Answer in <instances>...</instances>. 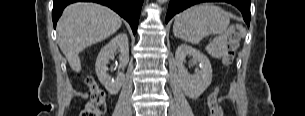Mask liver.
I'll return each instance as SVG.
<instances>
[{"mask_svg": "<svg viewBox=\"0 0 305 116\" xmlns=\"http://www.w3.org/2000/svg\"><path fill=\"white\" fill-rule=\"evenodd\" d=\"M121 25V17L106 6L87 2L67 6L57 23V40L71 69L80 72L79 53L86 47L108 38Z\"/></svg>", "mask_w": 305, "mask_h": 116, "instance_id": "liver-1", "label": "liver"}]
</instances>
